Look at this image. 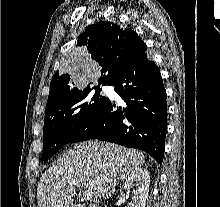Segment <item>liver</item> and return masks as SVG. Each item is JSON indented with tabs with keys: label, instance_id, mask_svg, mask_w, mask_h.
<instances>
[{
	"label": "liver",
	"instance_id": "liver-1",
	"mask_svg": "<svg viewBox=\"0 0 220 207\" xmlns=\"http://www.w3.org/2000/svg\"><path fill=\"white\" fill-rule=\"evenodd\" d=\"M145 163V156L133 149L100 141H87L67 150L40 177L37 188L38 207H73L75 185L96 199H107L116 184Z\"/></svg>",
	"mask_w": 220,
	"mask_h": 207
}]
</instances>
